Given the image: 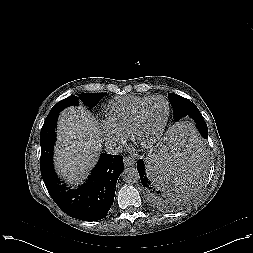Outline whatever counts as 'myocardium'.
<instances>
[{
  "instance_id": "f54148a6",
  "label": "myocardium",
  "mask_w": 253,
  "mask_h": 253,
  "mask_svg": "<svg viewBox=\"0 0 253 253\" xmlns=\"http://www.w3.org/2000/svg\"><path fill=\"white\" fill-rule=\"evenodd\" d=\"M155 99H163L166 101V103H167L166 118H165L163 124L161 125V127L159 128V130L155 134H153L152 137H150L149 139H147L144 142L138 141L136 139V133H137V130H138L141 118H142V113H143L144 109L146 108V106ZM170 115H171V104H170V101L168 100V98H166L165 96H162V95L151 96L145 102H143L139 106V108L137 109L135 116H134V118L131 122V125L129 127L128 133H127L128 138L134 144L139 145L144 148L153 146L160 139V137L163 135V133L168 125Z\"/></svg>"
}]
</instances>
